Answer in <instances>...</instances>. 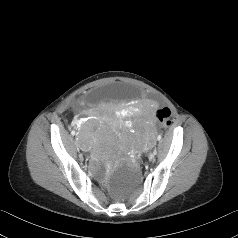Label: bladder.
<instances>
[{
	"mask_svg": "<svg viewBox=\"0 0 238 238\" xmlns=\"http://www.w3.org/2000/svg\"><path fill=\"white\" fill-rule=\"evenodd\" d=\"M140 94L141 90L137 86L113 83L110 86L95 88L88 93L87 98L89 101L94 102L102 97H106L108 99H131L133 97H139Z\"/></svg>",
	"mask_w": 238,
	"mask_h": 238,
	"instance_id": "bladder-1",
	"label": "bladder"
}]
</instances>
